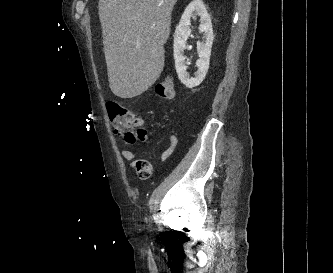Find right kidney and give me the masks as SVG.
<instances>
[{
  "label": "right kidney",
  "mask_w": 333,
  "mask_h": 273,
  "mask_svg": "<svg viewBox=\"0 0 333 273\" xmlns=\"http://www.w3.org/2000/svg\"><path fill=\"white\" fill-rule=\"evenodd\" d=\"M200 16L199 31L203 33V42H197V52L199 59L196 62L198 68L195 77H190L187 72L186 56V40L191 34L190 19ZM214 39L212 23L206 7L202 0H194L188 4L178 26L174 33V60L175 69L178 78L187 88L198 86L205 78L209 69V59L211 55V47Z\"/></svg>",
  "instance_id": "right-kidney-1"
}]
</instances>
